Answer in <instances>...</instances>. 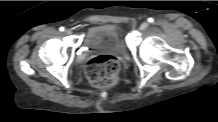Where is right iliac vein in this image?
<instances>
[{
  "instance_id": "obj_1",
  "label": "right iliac vein",
  "mask_w": 218,
  "mask_h": 122,
  "mask_svg": "<svg viewBox=\"0 0 218 122\" xmlns=\"http://www.w3.org/2000/svg\"><path fill=\"white\" fill-rule=\"evenodd\" d=\"M65 34L70 35V34H72V31L70 29H67V30H65Z\"/></svg>"
}]
</instances>
